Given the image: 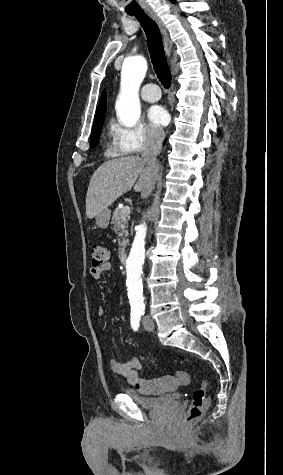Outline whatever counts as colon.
I'll return each instance as SVG.
<instances>
[{
  "label": "colon",
  "mask_w": 283,
  "mask_h": 475,
  "mask_svg": "<svg viewBox=\"0 0 283 475\" xmlns=\"http://www.w3.org/2000/svg\"><path fill=\"white\" fill-rule=\"evenodd\" d=\"M92 267H103L107 265L109 253L107 249L98 243H95L91 248ZM208 390V383L202 382L192 394L191 404L189 410L182 423H188L193 420L201 418L207 407L206 392Z\"/></svg>",
  "instance_id": "5ec220e1"
}]
</instances>
